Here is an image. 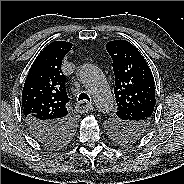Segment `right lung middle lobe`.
<instances>
[{
  "label": "right lung middle lobe",
  "instance_id": "right-lung-middle-lobe-1",
  "mask_svg": "<svg viewBox=\"0 0 184 184\" xmlns=\"http://www.w3.org/2000/svg\"><path fill=\"white\" fill-rule=\"evenodd\" d=\"M73 132H74V128H73V130L69 131L67 135H65V137L63 138L62 141H60V142H58V143H55V144L52 145V146H53V147H59V146L65 144L66 141H68L69 138L72 136Z\"/></svg>",
  "mask_w": 184,
  "mask_h": 184
}]
</instances>
